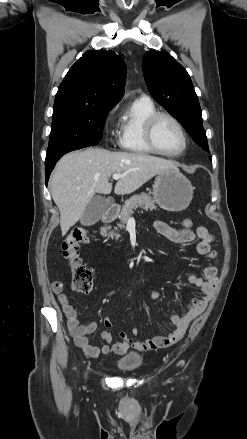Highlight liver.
I'll use <instances>...</instances> for the list:
<instances>
[{
    "label": "liver",
    "instance_id": "liver-1",
    "mask_svg": "<svg viewBox=\"0 0 247 439\" xmlns=\"http://www.w3.org/2000/svg\"><path fill=\"white\" fill-rule=\"evenodd\" d=\"M172 168H177L175 163L163 158L101 148H87L64 155L51 178V195L60 212L62 235L83 216L96 193H111V175H123L114 190L116 194L125 195Z\"/></svg>",
    "mask_w": 247,
    "mask_h": 439
}]
</instances>
